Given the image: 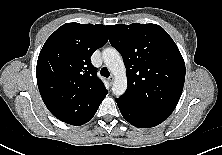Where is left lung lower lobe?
<instances>
[{
	"instance_id": "obj_1",
	"label": "left lung lower lobe",
	"mask_w": 222,
	"mask_h": 155,
	"mask_svg": "<svg viewBox=\"0 0 222 155\" xmlns=\"http://www.w3.org/2000/svg\"><path fill=\"white\" fill-rule=\"evenodd\" d=\"M117 106L124 119L135 127L150 128L162 123L168 116L136 108L118 98Z\"/></svg>"
}]
</instances>
